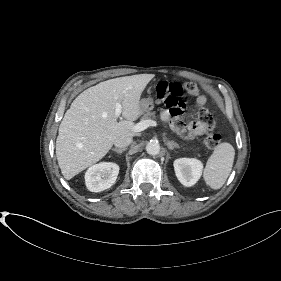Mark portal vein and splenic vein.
<instances>
[{"mask_svg":"<svg viewBox=\"0 0 281 281\" xmlns=\"http://www.w3.org/2000/svg\"><path fill=\"white\" fill-rule=\"evenodd\" d=\"M121 113H122V106L119 102H117L115 105V117L116 118L120 117ZM151 126L156 127L157 126L156 121L150 119L142 120L133 126V130L135 132H141Z\"/></svg>","mask_w":281,"mask_h":281,"instance_id":"18ae733b","label":"portal vein and splenic vein"}]
</instances>
